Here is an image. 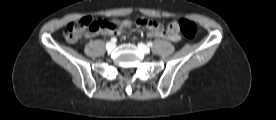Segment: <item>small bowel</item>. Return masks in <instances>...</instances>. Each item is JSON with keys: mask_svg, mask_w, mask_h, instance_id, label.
I'll return each instance as SVG.
<instances>
[{"mask_svg": "<svg viewBox=\"0 0 276 120\" xmlns=\"http://www.w3.org/2000/svg\"><path fill=\"white\" fill-rule=\"evenodd\" d=\"M149 29L148 36L149 37H159L165 38L173 42H177L180 40V36L177 33H169L167 32L163 26L157 22L156 20L151 21V25L147 26ZM106 34H112L113 32H105Z\"/></svg>", "mask_w": 276, "mask_h": 120, "instance_id": "small-bowel-1", "label": "small bowel"}]
</instances>
